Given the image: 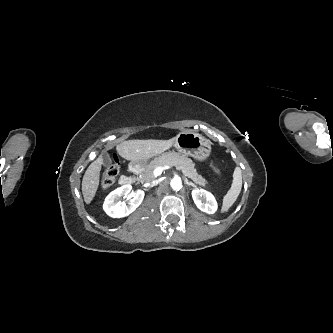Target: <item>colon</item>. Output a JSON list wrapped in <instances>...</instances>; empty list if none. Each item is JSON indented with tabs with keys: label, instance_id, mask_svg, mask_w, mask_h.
I'll list each match as a JSON object with an SVG mask.
<instances>
[{
	"label": "colon",
	"instance_id": "5ec220e1",
	"mask_svg": "<svg viewBox=\"0 0 333 333\" xmlns=\"http://www.w3.org/2000/svg\"><path fill=\"white\" fill-rule=\"evenodd\" d=\"M118 165H119V162L118 160L115 158L114 161L112 162V164L103 172L102 174V178H101V187L106 189L108 187H110L115 179H116V176L118 174ZM211 167L213 168V170L219 174L220 171L219 169L217 168V166H215L214 164L211 165Z\"/></svg>",
	"mask_w": 333,
	"mask_h": 333
}]
</instances>
